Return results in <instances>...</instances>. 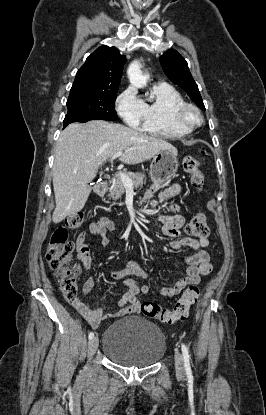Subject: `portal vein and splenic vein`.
Segmentation results:
<instances>
[{
    "instance_id": "obj_1",
    "label": "portal vein and splenic vein",
    "mask_w": 266,
    "mask_h": 415,
    "mask_svg": "<svg viewBox=\"0 0 266 415\" xmlns=\"http://www.w3.org/2000/svg\"><path fill=\"white\" fill-rule=\"evenodd\" d=\"M123 151H118V152H116L112 157H111V159L110 160H113V159H116L117 157H120V156H122L123 155ZM117 176H119L120 178H121V181L123 182V184H124V186L126 187V188H130V189H132L133 188V182L131 181V179L125 174V173H123V172H118L117 173Z\"/></svg>"
}]
</instances>
